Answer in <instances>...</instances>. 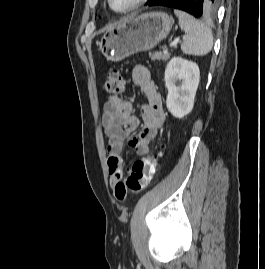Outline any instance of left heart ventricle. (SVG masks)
Wrapping results in <instances>:
<instances>
[{"mask_svg": "<svg viewBox=\"0 0 265 269\" xmlns=\"http://www.w3.org/2000/svg\"><path fill=\"white\" fill-rule=\"evenodd\" d=\"M134 0H112L115 9H124L129 6Z\"/></svg>", "mask_w": 265, "mask_h": 269, "instance_id": "left-heart-ventricle-1", "label": "left heart ventricle"}]
</instances>
